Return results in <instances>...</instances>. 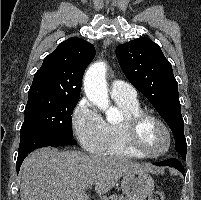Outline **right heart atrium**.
I'll list each match as a JSON object with an SVG mask.
<instances>
[{"mask_svg":"<svg viewBox=\"0 0 201 200\" xmlns=\"http://www.w3.org/2000/svg\"><path fill=\"white\" fill-rule=\"evenodd\" d=\"M74 133L84 149L99 153L104 145L105 121L87 99H82L72 114Z\"/></svg>","mask_w":201,"mask_h":200,"instance_id":"d8ad5b80","label":"right heart atrium"}]
</instances>
